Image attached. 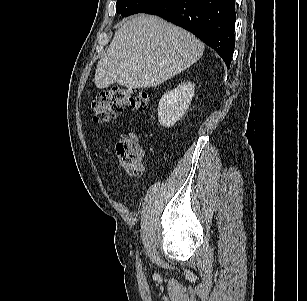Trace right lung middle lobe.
I'll use <instances>...</instances> for the list:
<instances>
[{"mask_svg":"<svg viewBox=\"0 0 307 301\" xmlns=\"http://www.w3.org/2000/svg\"><path fill=\"white\" fill-rule=\"evenodd\" d=\"M157 1L159 0H117L116 12L122 16H129L142 12Z\"/></svg>","mask_w":307,"mask_h":301,"instance_id":"obj_1","label":"right lung middle lobe"}]
</instances>
